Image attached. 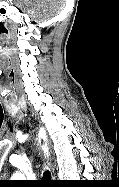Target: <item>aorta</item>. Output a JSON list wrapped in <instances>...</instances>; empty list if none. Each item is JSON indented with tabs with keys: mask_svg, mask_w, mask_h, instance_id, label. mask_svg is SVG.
Wrapping results in <instances>:
<instances>
[{
	"mask_svg": "<svg viewBox=\"0 0 119 187\" xmlns=\"http://www.w3.org/2000/svg\"><path fill=\"white\" fill-rule=\"evenodd\" d=\"M22 176H21V174L20 173H15L14 175H13V178H15V179H19V178H21Z\"/></svg>",
	"mask_w": 119,
	"mask_h": 187,
	"instance_id": "1",
	"label": "aorta"
}]
</instances>
